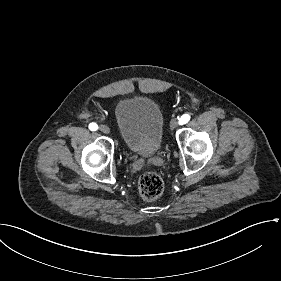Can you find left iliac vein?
<instances>
[{
	"label": "left iliac vein",
	"mask_w": 281,
	"mask_h": 281,
	"mask_svg": "<svg viewBox=\"0 0 281 281\" xmlns=\"http://www.w3.org/2000/svg\"><path fill=\"white\" fill-rule=\"evenodd\" d=\"M179 126V120L174 118L170 122V129L173 130Z\"/></svg>",
	"instance_id": "4c4485c4"
}]
</instances>
